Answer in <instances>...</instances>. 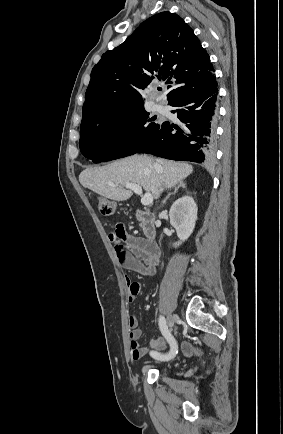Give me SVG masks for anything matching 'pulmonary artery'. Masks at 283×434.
<instances>
[{"instance_id": "1", "label": "pulmonary artery", "mask_w": 283, "mask_h": 434, "mask_svg": "<svg viewBox=\"0 0 283 434\" xmlns=\"http://www.w3.org/2000/svg\"><path fill=\"white\" fill-rule=\"evenodd\" d=\"M154 109L157 112H161V113L165 112V110H166L165 106L162 103L158 102V101L154 104Z\"/></svg>"}]
</instances>
